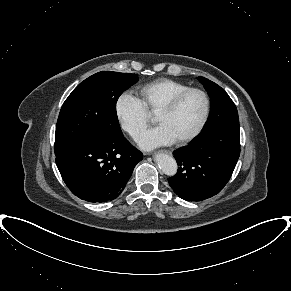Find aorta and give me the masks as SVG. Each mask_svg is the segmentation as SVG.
Instances as JSON below:
<instances>
[{
	"label": "aorta",
	"mask_w": 291,
	"mask_h": 291,
	"mask_svg": "<svg viewBox=\"0 0 291 291\" xmlns=\"http://www.w3.org/2000/svg\"><path fill=\"white\" fill-rule=\"evenodd\" d=\"M155 161L164 174L174 176L177 173L178 166L173 157L159 153L155 156Z\"/></svg>",
	"instance_id": "762f6f07"
}]
</instances>
